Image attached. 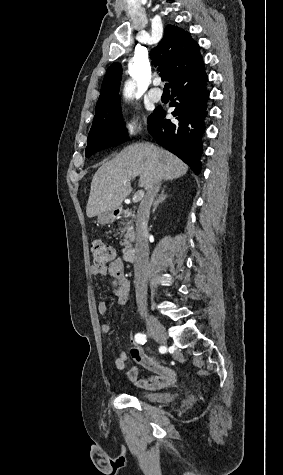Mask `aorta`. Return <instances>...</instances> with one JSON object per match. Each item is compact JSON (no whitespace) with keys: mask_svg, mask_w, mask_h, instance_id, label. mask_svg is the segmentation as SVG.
Segmentation results:
<instances>
[{"mask_svg":"<svg viewBox=\"0 0 283 475\" xmlns=\"http://www.w3.org/2000/svg\"><path fill=\"white\" fill-rule=\"evenodd\" d=\"M135 89V85L132 81H128L125 84L124 95L125 97H131Z\"/></svg>","mask_w":283,"mask_h":475,"instance_id":"1","label":"aorta"}]
</instances>
